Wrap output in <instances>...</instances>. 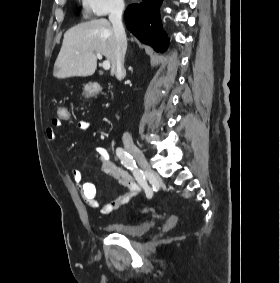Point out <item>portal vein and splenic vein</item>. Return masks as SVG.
<instances>
[{
	"label": "portal vein and splenic vein",
	"instance_id": "18ae733b",
	"mask_svg": "<svg viewBox=\"0 0 280 283\" xmlns=\"http://www.w3.org/2000/svg\"><path fill=\"white\" fill-rule=\"evenodd\" d=\"M96 55H97V58H98V59H100V60L102 59V54H101V53L97 52ZM102 66H103V69L109 70V69H110V62L107 61V60H106V61H103Z\"/></svg>",
	"mask_w": 280,
	"mask_h": 283
}]
</instances>
